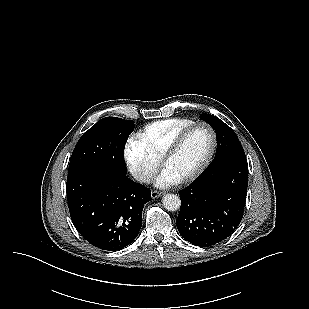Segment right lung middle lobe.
<instances>
[{"label": "right lung middle lobe", "instance_id": "obj_1", "mask_svg": "<svg viewBox=\"0 0 309 309\" xmlns=\"http://www.w3.org/2000/svg\"><path fill=\"white\" fill-rule=\"evenodd\" d=\"M133 126L134 121L117 117L98 121L79 139L68 172L84 167H99L126 176L124 147Z\"/></svg>", "mask_w": 309, "mask_h": 309}]
</instances>
